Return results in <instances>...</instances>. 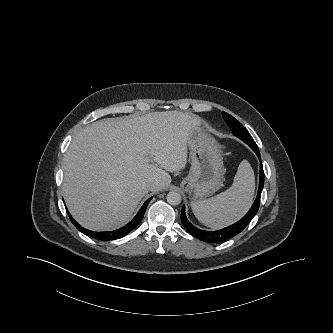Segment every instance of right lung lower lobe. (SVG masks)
Listing matches in <instances>:
<instances>
[{
  "label": "right lung lower lobe",
  "mask_w": 333,
  "mask_h": 333,
  "mask_svg": "<svg viewBox=\"0 0 333 333\" xmlns=\"http://www.w3.org/2000/svg\"><path fill=\"white\" fill-rule=\"evenodd\" d=\"M151 198H149L141 207V209L139 210V212L137 213V215L133 218V220L131 222H129L127 225L123 226L120 229L114 230V231H109V232H93L90 230H87L83 227H81L70 215V213L67 211L69 218L71 220V222L74 224V226L83 234L97 239V240H101V241H109V240H115V239H119L125 235H127L129 232H131L134 228H136L138 226V224L141 222L145 210L147 208L148 203L150 202ZM67 210V209H66Z\"/></svg>",
  "instance_id": "1"
}]
</instances>
